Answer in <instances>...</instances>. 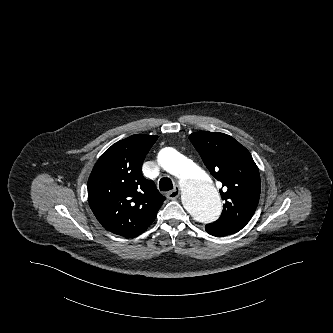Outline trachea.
<instances>
[{
    "instance_id": "trachea-1",
    "label": "trachea",
    "mask_w": 333,
    "mask_h": 333,
    "mask_svg": "<svg viewBox=\"0 0 333 333\" xmlns=\"http://www.w3.org/2000/svg\"><path fill=\"white\" fill-rule=\"evenodd\" d=\"M159 188L161 191H169L173 189V183L170 178H162L159 182Z\"/></svg>"
}]
</instances>
